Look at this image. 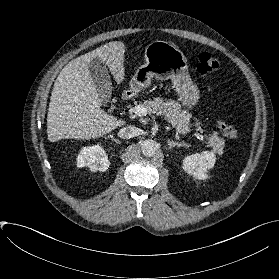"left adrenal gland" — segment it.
<instances>
[{"instance_id":"obj_1","label":"left adrenal gland","mask_w":279,"mask_h":279,"mask_svg":"<svg viewBox=\"0 0 279 279\" xmlns=\"http://www.w3.org/2000/svg\"><path fill=\"white\" fill-rule=\"evenodd\" d=\"M167 144H168L170 149L175 147V146H177V147H181V146H186L187 147L188 146V144L185 143L184 141H182V142H174V141L168 140Z\"/></svg>"}]
</instances>
